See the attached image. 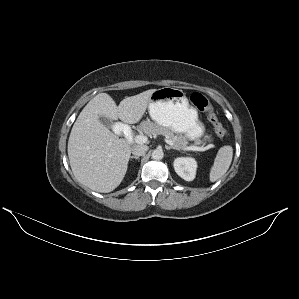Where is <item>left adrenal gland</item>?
Listing matches in <instances>:
<instances>
[{
    "label": "left adrenal gland",
    "instance_id": "left-adrenal-gland-1",
    "mask_svg": "<svg viewBox=\"0 0 299 299\" xmlns=\"http://www.w3.org/2000/svg\"><path fill=\"white\" fill-rule=\"evenodd\" d=\"M165 148H166L167 150H170V149L179 150L178 148H175V147H172V146H168V145H166Z\"/></svg>",
    "mask_w": 299,
    "mask_h": 299
}]
</instances>
